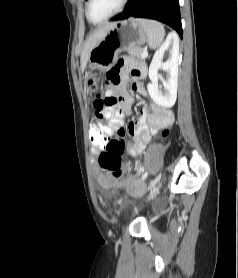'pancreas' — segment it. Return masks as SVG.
Wrapping results in <instances>:
<instances>
[{
  "label": "pancreas",
  "instance_id": "obj_1",
  "mask_svg": "<svg viewBox=\"0 0 238 278\" xmlns=\"http://www.w3.org/2000/svg\"><path fill=\"white\" fill-rule=\"evenodd\" d=\"M143 51L144 50L141 47H129L128 48V53L131 56H134V57H137V58H140V59H144V58H142Z\"/></svg>",
  "mask_w": 238,
  "mask_h": 278
}]
</instances>
